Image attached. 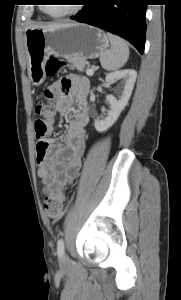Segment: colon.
<instances>
[{"label": "colon", "mask_w": 181, "mask_h": 300, "mask_svg": "<svg viewBox=\"0 0 181 300\" xmlns=\"http://www.w3.org/2000/svg\"><path fill=\"white\" fill-rule=\"evenodd\" d=\"M66 62L59 57H50L46 63L45 73L47 77L57 75L66 67ZM35 113L42 117L35 122V134L38 142H44L48 135L47 122L54 119L56 114L55 106L49 94H46L43 100L36 103ZM67 191L55 190L51 192L44 200V211L51 220L60 219L63 215V205L66 201Z\"/></svg>", "instance_id": "1"}]
</instances>
